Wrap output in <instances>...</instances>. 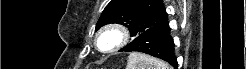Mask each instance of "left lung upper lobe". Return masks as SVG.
Here are the masks:
<instances>
[{
	"mask_svg": "<svg viewBox=\"0 0 246 69\" xmlns=\"http://www.w3.org/2000/svg\"><path fill=\"white\" fill-rule=\"evenodd\" d=\"M162 0H112L102 12L95 30L109 23L127 26L132 37L168 21Z\"/></svg>",
	"mask_w": 246,
	"mask_h": 69,
	"instance_id": "5c2ea615",
	"label": "left lung upper lobe"
}]
</instances>
